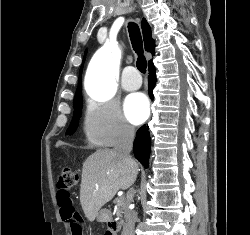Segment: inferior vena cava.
<instances>
[{
	"label": "inferior vena cava",
	"instance_id": "602c4592",
	"mask_svg": "<svg viewBox=\"0 0 250 235\" xmlns=\"http://www.w3.org/2000/svg\"><path fill=\"white\" fill-rule=\"evenodd\" d=\"M135 137V131L128 124L123 122L121 124L119 137L115 145V153L126 163H132L130 151L132 149L133 140ZM134 190L131 188L128 191L129 201L132 200ZM125 225L122 231V235H134V226L137 221V214L129 206H126L124 210Z\"/></svg>",
	"mask_w": 250,
	"mask_h": 235
}]
</instances>
